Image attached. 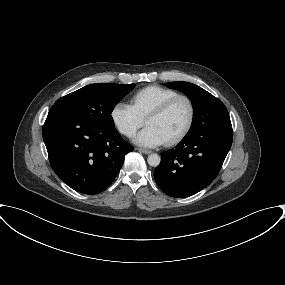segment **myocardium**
Instances as JSON below:
<instances>
[{
	"label": "myocardium",
	"instance_id": "obj_1",
	"mask_svg": "<svg viewBox=\"0 0 285 285\" xmlns=\"http://www.w3.org/2000/svg\"><path fill=\"white\" fill-rule=\"evenodd\" d=\"M178 101H184L187 104L188 118L184 127L175 136L164 142L167 146H171L180 142L191 130L195 119V106L192 99L187 95L178 94L153 109L145 118L146 122L149 118L158 117L165 114Z\"/></svg>",
	"mask_w": 285,
	"mask_h": 285
}]
</instances>
